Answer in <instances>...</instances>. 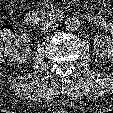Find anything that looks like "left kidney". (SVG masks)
<instances>
[{
  "label": "left kidney",
  "mask_w": 113,
  "mask_h": 113,
  "mask_svg": "<svg viewBox=\"0 0 113 113\" xmlns=\"http://www.w3.org/2000/svg\"><path fill=\"white\" fill-rule=\"evenodd\" d=\"M94 52L99 58L113 60V38L98 34L94 38Z\"/></svg>",
  "instance_id": "obj_1"
}]
</instances>
